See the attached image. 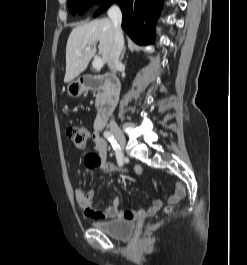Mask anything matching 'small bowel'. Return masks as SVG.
<instances>
[{
    "label": "small bowel",
    "instance_id": "obj_1",
    "mask_svg": "<svg viewBox=\"0 0 247 265\" xmlns=\"http://www.w3.org/2000/svg\"><path fill=\"white\" fill-rule=\"evenodd\" d=\"M92 141L94 143V152L86 154L84 158L85 165L88 168L94 169L99 168L106 172H114L116 170L115 166L107 161V143L101 137L99 129H96L92 136ZM138 168L135 169L137 173ZM186 195V189L183 185H177L174 193L169 197L170 203H177L179 200L184 198ZM75 200L83 213L93 219H113V218H125L127 220L143 221L146 217L155 215L162 206L160 200L156 199L152 205L146 210H121V201L118 197H115L111 205L105 210L101 211L94 207L93 199L95 196L94 190L83 191L82 189H76L74 192Z\"/></svg>",
    "mask_w": 247,
    "mask_h": 265
}]
</instances>
